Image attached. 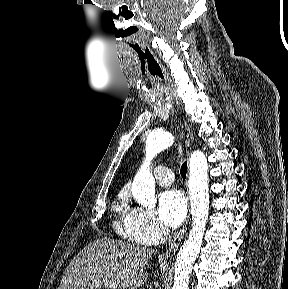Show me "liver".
Returning <instances> with one entry per match:
<instances>
[{"label": "liver", "mask_w": 288, "mask_h": 289, "mask_svg": "<svg viewBox=\"0 0 288 289\" xmlns=\"http://www.w3.org/2000/svg\"><path fill=\"white\" fill-rule=\"evenodd\" d=\"M153 253L146 247L99 238L73 258L58 289H137L148 280L144 270Z\"/></svg>", "instance_id": "1"}]
</instances>
